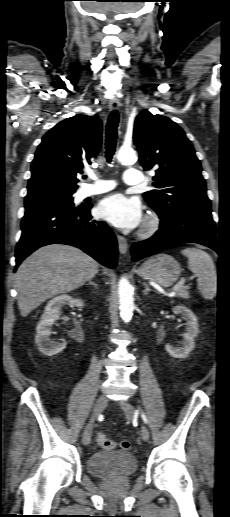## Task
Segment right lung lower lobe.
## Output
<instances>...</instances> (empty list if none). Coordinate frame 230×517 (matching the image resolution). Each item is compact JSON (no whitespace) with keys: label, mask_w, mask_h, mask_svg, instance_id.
Segmentation results:
<instances>
[{"label":"right lung lower lobe","mask_w":230,"mask_h":517,"mask_svg":"<svg viewBox=\"0 0 230 517\" xmlns=\"http://www.w3.org/2000/svg\"><path fill=\"white\" fill-rule=\"evenodd\" d=\"M90 208L26 207L21 222L22 236L16 246L15 269L33 251L49 244L78 247L104 266L115 268L116 237L104 221L92 219Z\"/></svg>","instance_id":"98d812e1"}]
</instances>
